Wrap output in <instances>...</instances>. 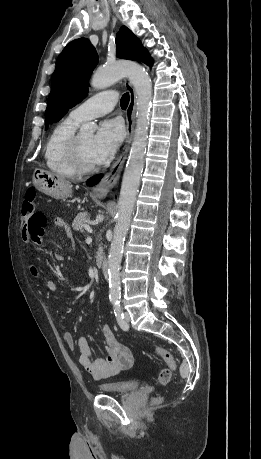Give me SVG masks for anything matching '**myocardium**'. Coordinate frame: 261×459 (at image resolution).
<instances>
[{"instance_id": "obj_1", "label": "myocardium", "mask_w": 261, "mask_h": 459, "mask_svg": "<svg viewBox=\"0 0 261 459\" xmlns=\"http://www.w3.org/2000/svg\"><path fill=\"white\" fill-rule=\"evenodd\" d=\"M68 155L72 166L79 174H88L96 169L95 164H88L83 157L79 135H74L70 140Z\"/></svg>"}]
</instances>
